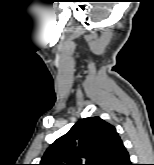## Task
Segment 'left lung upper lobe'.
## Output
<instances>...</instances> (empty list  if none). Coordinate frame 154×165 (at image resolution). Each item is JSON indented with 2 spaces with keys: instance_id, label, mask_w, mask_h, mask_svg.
I'll list each match as a JSON object with an SVG mask.
<instances>
[{
  "instance_id": "1",
  "label": "left lung upper lobe",
  "mask_w": 154,
  "mask_h": 165,
  "mask_svg": "<svg viewBox=\"0 0 154 165\" xmlns=\"http://www.w3.org/2000/svg\"><path fill=\"white\" fill-rule=\"evenodd\" d=\"M123 147L113 125L84 118L46 150L39 165H115Z\"/></svg>"
}]
</instances>
